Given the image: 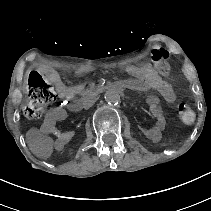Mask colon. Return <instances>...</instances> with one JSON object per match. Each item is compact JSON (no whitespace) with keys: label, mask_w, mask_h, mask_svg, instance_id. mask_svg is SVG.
<instances>
[{"label":"colon","mask_w":211,"mask_h":211,"mask_svg":"<svg viewBox=\"0 0 211 211\" xmlns=\"http://www.w3.org/2000/svg\"><path fill=\"white\" fill-rule=\"evenodd\" d=\"M56 97L52 82L36 71L31 72L28 77L25 115L31 119L38 118ZM178 115L185 124H191L195 120V112L185 104L178 105Z\"/></svg>","instance_id":"5ec220e1"}]
</instances>
